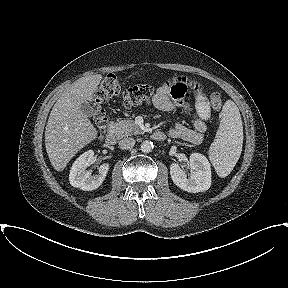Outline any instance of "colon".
I'll return each instance as SVG.
<instances>
[{
	"label": "colon",
	"mask_w": 288,
	"mask_h": 288,
	"mask_svg": "<svg viewBox=\"0 0 288 288\" xmlns=\"http://www.w3.org/2000/svg\"><path fill=\"white\" fill-rule=\"evenodd\" d=\"M154 88L150 85L142 84L131 87H124L123 82L115 75H107L97 87L94 97V115L96 126L103 132L107 125V117L103 105L111 98L117 97L123 105L127 107L142 104L151 99ZM213 110H218L222 106V96L214 92L210 96L209 102Z\"/></svg>",
	"instance_id": "5ec220e1"
}]
</instances>
